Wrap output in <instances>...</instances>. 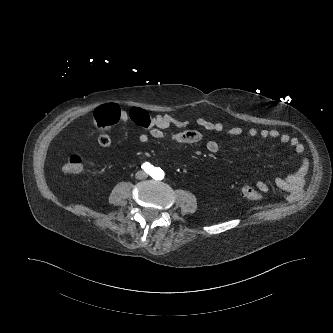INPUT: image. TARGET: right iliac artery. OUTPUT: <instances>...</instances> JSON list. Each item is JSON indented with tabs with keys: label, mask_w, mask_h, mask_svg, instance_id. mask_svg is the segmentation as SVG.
<instances>
[{
	"label": "right iliac artery",
	"mask_w": 333,
	"mask_h": 333,
	"mask_svg": "<svg viewBox=\"0 0 333 333\" xmlns=\"http://www.w3.org/2000/svg\"><path fill=\"white\" fill-rule=\"evenodd\" d=\"M142 169L149 175H152L154 173V171L156 170V168L149 162L143 163Z\"/></svg>",
	"instance_id": "82829eb1"
}]
</instances>
